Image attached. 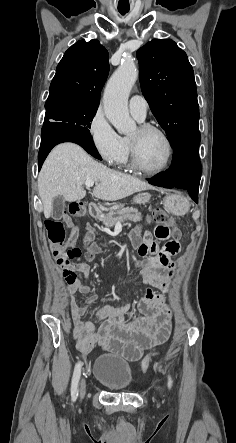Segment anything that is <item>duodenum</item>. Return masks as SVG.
<instances>
[{
	"label": "duodenum",
	"instance_id": "obj_1",
	"mask_svg": "<svg viewBox=\"0 0 236 443\" xmlns=\"http://www.w3.org/2000/svg\"><path fill=\"white\" fill-rule=\"evenodd\" d=\"M88 209H89V215L92 218L100 216V213H101L100 207L98 205H96L95 203L90 202L88 205Z\"/></svg>",
	"mask_w": 236,
	"mask_h": 443
}]
</instances>
